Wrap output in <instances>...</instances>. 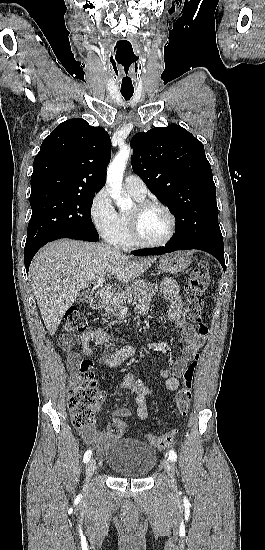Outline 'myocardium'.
<instances>
[{"instance_id": "obj_1", "label": "myocardium", "mask_w": 265, "mask_h": 550, "mask_svg": "<svg viewBox=\"0 0 265 550\" xmlns=\"http://www.w3.org/2000/svg\"><path fill=\"white\" fill-rule=\"evenodd\" d=\"M151 208H157L162 210L169 218L170 226L169 232L166 237L158 242H148L142 239L139 232V219L140 216ZM176 218L172 211L165 205L157 201L143 200L138 202L132 211L129 212V230L130 237L133 245L140 248H158L168 244L176 233Z\"/></svg>"}]
</instances>
